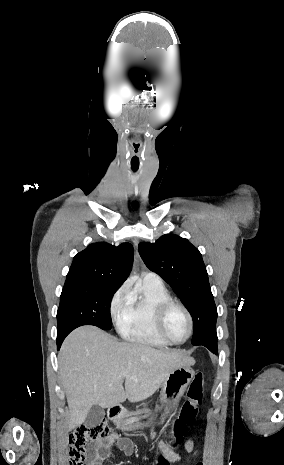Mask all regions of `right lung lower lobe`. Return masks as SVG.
Here are the masks:
<instances>
[{
    "label": "right lung lower lobe",
    "mask_w": 284,
    "mask_h": 465,
    "mask_svg": "<svg viewBox=\"0 0 284 465\" xmlns=\"http://www.w3.org/2000/svg\"><path fill=\"white\" fill-rule=\"evenodd\" d=\"M74 329H75V327H72V328L63 330L61 332H57V349L58 350L60 349L61 344L64 341V339L66 338V336Z\"/></svg>",
    "instance_id": "98d812e1"
}]
</instances>
